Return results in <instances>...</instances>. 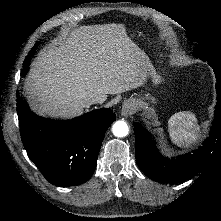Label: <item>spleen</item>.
Masks as SVG:
<instances>
[{"label": "spleen", "mask_w": 221, "mask_h": 221, "mask_svg": "<svg viewBox=\"0 0 221 221\" xmlns=\"http://www.w3.org/2000/svg\"><path fill=\"white\" fill-rule=\"evenodd\" d=\"M196 116L191 112H178L168 121L169 135L178 146L190 144L198 139L199 126Z\"/></svg>", "instance_id": "3e777b00"}]
</instances>
